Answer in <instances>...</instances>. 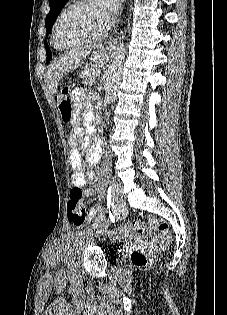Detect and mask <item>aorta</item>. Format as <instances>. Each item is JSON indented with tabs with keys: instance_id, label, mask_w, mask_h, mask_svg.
Returning a JSON list of instances; mask_svg holds the SVG:
<instances>
[{
	"instance_id": "obj_1",
	"label": "aorta",
	"mask_w": 227,
	"mask_h": 315,
	"mask_svg": "<svg viewBox=\"0 0 227 315\" xmlns=\"http://www.w3.org/2000/svg\"><path fill=\"white\" fill-rule=\"evenodd\" d=\"M125 55V37L121 36L116 42L107 70L105 83V99L107 104H109L110 101L113 99L117 87L120 84Z\"/></svg>"
}]
</instances>
